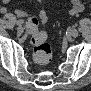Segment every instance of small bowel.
Here are the masks:
<instances>
[{
    "label": "small bowel",
    "mask_w": 91,
    "mask_h": 91,
    "mask_svg": "<svg viewBox=\"0 0 91 91\" xmlns=\"http://www.w3.org/2000/svg\"><path fill=\"white\" fill-rule=\"evenodd\" d=\"M39 3L42 4V5H45L46 0H39ZM83 9H84V6L79 0H73L72 3H71L70 9H69V13L71 15H75V14H78V13L82 12ZM0 10H1V13H3V14H5L7 12V9L5 7H2ZM14 13L19 17L26 16V12L21 10V9H16L14 11ZM44 15H46V13L44 11H41L39 13V16H44Z\"/></svg>",
    "instance_id": "small-bowel-1"
}]
</instances>
